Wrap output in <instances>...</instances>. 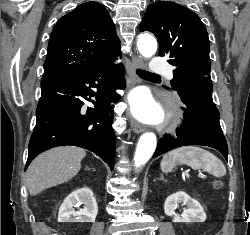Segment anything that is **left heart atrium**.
Wrapping results in <instances>:
<instances>
[{
  "mask_svg": "<svg viewBox=\"0 0 250 235\" xmlns=\"http://www.w3.org/2000/svg\"><path fill=\"white\" fill-rule=\"evenodd\" d=\"M131 111L135 117L147 122H158L162 118L160 108L143 91H137L130 97Z\"/></svg>",
  "mask_w": 250,
  "mask_h": 235,
  "instance_id": "1",
  "label": "left heart atrium"
}]
</instances>
